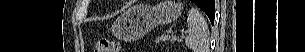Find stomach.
<instances>
[{
    "label": "stomach",
    "instance_id": "stomach-1",
    "mask_svg": "<svg viewBox=\"0 0 305 52\" xmlns=\"http://www.w3.org/2000/svg\"><path fill=\"white\" fill-rule=\"evenodd\" d=\"M181 5L165 0L156 6L138 4L130 7L113 23V34L126 41H134L160 24L175 21L181 15Z\"/></svg>",
    "mask_w": 305,
    "mask_h": 52
}]
</instances>
